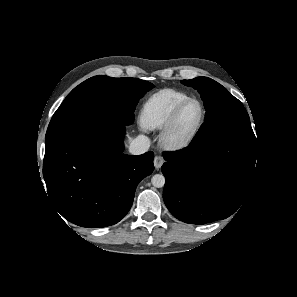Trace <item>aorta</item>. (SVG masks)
<instances>
[{
  "mask_svg": "<svg viewBox=\"0 0 297 297\" xmlns=\"http://www.w3.org/2000/svg\"><path fill=\"white\" fill-rule=\"evenodd\" d=\"M151 183L154 187L161 188L165 185V177L162 174H155L151 178Z\"/></svg>",
  "mask_w": 297,
  "mask_h": 297,
  "instance_id": "aorta-1",
  "label": "aorta"
}]
</instances>
